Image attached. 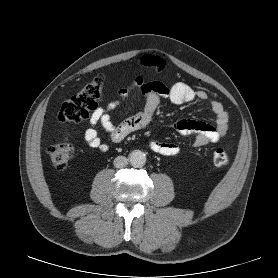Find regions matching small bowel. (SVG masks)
<instances>
[{
	"label": "small bowel",
	"mask_w": 278,
	"mask_h": 278,
	"mask_svg": "<svg viewBox=\"0 0 278 278\" xmlns=\"http://www.w3.org/2000/svg\"><path fill=\"white\" fill-rule=\"evenodd\" d=\"M136 91L144 99L143 110L114 124L110 113L117 109L120 104L127 100L130 93ZM162 100H169L174 104H184L193 101L207 102L210 111L215 116V124L211 125L202 121L181 120L174 124L175 131L183 136L194 135V146H203L209 143L219 142L229 129V115L223 105L211 99L207 92L194 90L184 82H177L167 86L159 81L145 82L137 77L131 86L121 88L118 91V99L97 107L89 118V126L85 130L84 139L89 147L106 152L108 146L102 142L98 135L97 127L100 125L115 142H121L129 134L146 127L152 120L153 115ZM150 149L165 156H175L180 153V147L174 143L151 140Z\"/></svg>",
	"instance_id": "1"
}]
</instances>
